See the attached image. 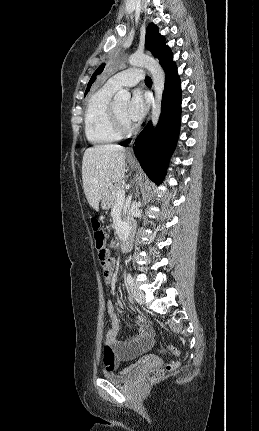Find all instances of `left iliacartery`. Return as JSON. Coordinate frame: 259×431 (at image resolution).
<instances>
[{
  "label": "left iliac artery",
  "mask_w": 259,
  "mask_h": 431,
  "mask_svg": "<svg viewBox=\"0 0 259 431\" xmlns=\"http://www.w3.org/2000/svg\"><path fill=\"white\" fill-rule=\"evenodd\" d=\"M126 280L130 286L133 285V278H132L131 274H129V273L127 274Z\"/></svg>",
  "instance_id": "1"
}]
</instances>
